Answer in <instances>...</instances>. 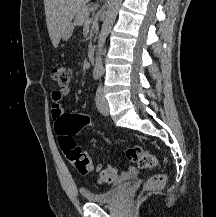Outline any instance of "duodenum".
<instances>
[{
    "label": "duodenum",
    "instance_id": "1",
    "mask_svg": "<svg viewBox=\"0 0 216 217\" xmlns=\"http://www.w3.org/2000/svg\"><path fill=\"white\" fill-rule=\"evenodd\" d=\"M88 58L90 60V62H94L95 61V46L94 44H90L88 47Z\"/></svg>",
    "mask_w": 216,
    "mask_h": 217
}]
</instances>
